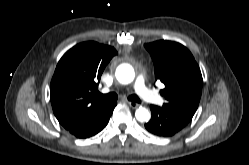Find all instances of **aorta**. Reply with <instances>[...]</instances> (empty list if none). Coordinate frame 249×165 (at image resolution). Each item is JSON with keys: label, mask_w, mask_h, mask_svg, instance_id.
<instances>
[{"label": "aorta", "mask_w": 249, "mask_h": 165, "mask_svg": "<svg viewBox=\"0 0 249 165\" xmlns=\"http://www.w3.org/2000/svg\"><path fill=\"white\" fill-rule=\"evenodd\" d=\"M134 77V69L129 65H121L116 70V78L122 84L131 83ZM135 117L139 122H147L150 120L151 114L148 109L139 107L135 112Z\"/></svg>", "instance_id": "1"}]
</instances>
